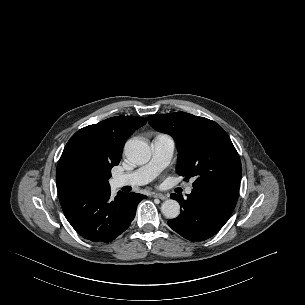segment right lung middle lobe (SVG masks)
Returning <instances> with one entry per match:
<instances>
[{
  "label": "right lung middle lobe",
  "mask_w": 305,
  "mask_h": 305,
  "mask_svg": "<svg viewBox=\"0 0 305 305\" xmlns=\"http://www.w3.org/2000/svg\"><path fill=\"white\" fill-rule=\"evenodd\" d=\"M111 166L90 154H78L70 163L69 176L85 189L109 188Z\"/></svg>",
  "instance_id": "1"
}]
</instances>
